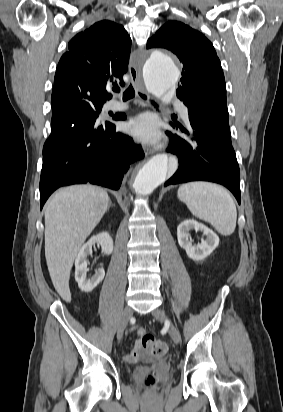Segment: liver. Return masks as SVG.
<instances>
[{"label": "liver", "instance_id": "obj_1", "mask_svg": "<svg viewBox=\"0 0 283 412\" xmlns=\"http://www.w3.org/2000/svg\"><path fill=\"white\" fill-rule=\"evenodd\" d=\"M108 193L92 185L60 189L45 206V257L59 295L71 301L69 278L74 260L86 238L109 205Z\"/></svg>", "mask_w": 283, "mask_h": 412}]
</instances>
